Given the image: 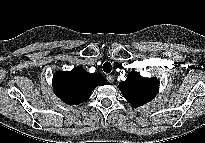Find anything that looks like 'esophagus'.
Instances as JSON below:
<instances>
[{
  "label": "esophagus",
  "instance_id": "34e87169",
  "mask_svg": "<svg viewBox=\"0 0 205 143\" xmlns=\"http://www.w3.org/2000/svg\"><path fill=\"white\" fill-rule=\"evenodd\" d=\"M107 81H108L109 83H113V81H114L113 76H112V75H107Z\"/></svg>",
  "mask_w": 205,
  "mask_h": 143
}]
</instances>
